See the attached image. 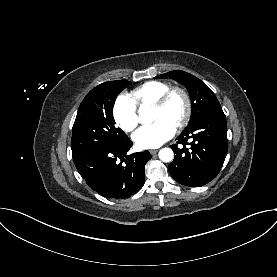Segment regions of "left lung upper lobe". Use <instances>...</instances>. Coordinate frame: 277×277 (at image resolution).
Segmentation results:
<instances>
[{
    "label": "left lung upper lobe",
    "mask_w": 277,
    "mask_h": 277,
    "mask_svg": "<svg viewBox=\"0 0 277 277\" xmlns=\"http://www.w3.org/2000/svg\"><path fill=\"white\" fill-rule=\"evenodd\" d=\"M155 78H170L184 85L191 98L192 113L189 124L186 129L195 124L207 113L221 108L214 93L197 77L184 71H170Z\"/></svg>",
    "instance_id": "obj_1"
}]
</instances>
